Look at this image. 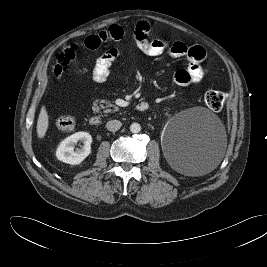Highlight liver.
Here are the masks:
<instances>
[{
  "instance_id": "1",
  "label": "liver",
  "mask_w": 267,
  "mask_h": 267,
  "mask_svg": "<svg viewBox=\"0 0 267 267\" xmlns=\"http://www.w3.org/2000/svg\"><path fill=\"white\" fill-rule=\"evenodd\" d=\"M48 126H49V117H48L45 106H42L40 113H39L38 121H37V136L39 139L44 138L47 132Z\"/></svg>"
}]
</instances>
